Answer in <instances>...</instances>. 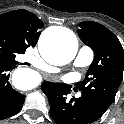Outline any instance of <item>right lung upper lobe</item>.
<instances>
[{"instance_id":"right-lung-upper-lobe-1","label":"right lung upper lobe","mask_w":124,"mask_h":124,"mask_svg":"<svg viewBox=\"0 0 124 124\" xmlns=\"http://www.w3.org/2000/svg\"><path fill=\"white\" fill-rule=\"evenodd\" d=\"M0 27L19 37L28 48L36 45L43 22L27 10H14L0 15Z\"/></svg>"}]
</instances>
